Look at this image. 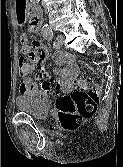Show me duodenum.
Segmentation results:
<instances>
[{"label": "duodenum", "instance_id": "410a0bca", "mask_svg": "<svg viewBox=\"0 0 123 167\" xmlns=\"http://www.w3.org/2000/svg\"><path fill=\"white\" fill-rule=\"evenodd\" d=\"M32 15H33V18L36 20V28H37V29H40V28H41L42 16H41V14L37 11V9L35 8V6L32 7Z\"/></svg>", "mask_w": 123, "mask_h": 167}]
</instances>
